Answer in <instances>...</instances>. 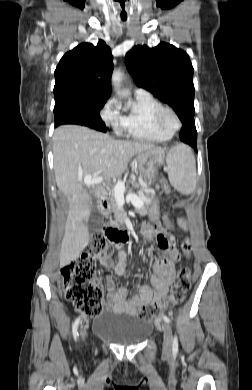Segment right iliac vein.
Returning a JSON list of instances; mask_svg holds the SVG:
<instances>
[{"label": "right iliac vein", "mask_w": 252, "mask_h": 390, "mask_svg": "<svg viewBox=\"0 0 252 390\" xmlns=\"http://www.w3.org/2000/svg\"><path fill=\"white\" fill-rule=\"evenodd\" d=\"M85 334H86V329L82 328L81 329V336H82L83 339L85 338Z\"/></svg>", "instance_id": "right-iliac-vein-1"}]
</instances>
